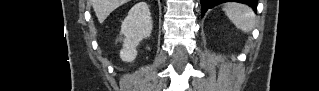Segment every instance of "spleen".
<instances>
[{"instance_id":"obj_1","label":"spleen","mask_w":319,"mask_h":91,"mask_svg":"<svg viewBox=\"0 0 319 91\" xmlns=\"http://www.w3.org/2000/svg\"><path fill=\"white\" fill-rule=\"evenodd\" d=\"M223 10L232 23L241 31L246 33L254 28L255 15L248 6L239 3H228Z\"/></svg>"}]
</instances>
